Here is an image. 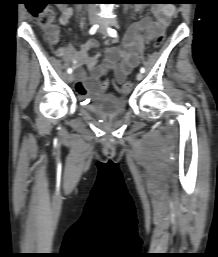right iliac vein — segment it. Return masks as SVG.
Here are the masks:
<instances>
[{
	"label": "right iliac vein",
	"mask_w": 218,
	"mask_h": 257,
	"mask_svg": "<svg viewBox=\"0 0 218 257\" xmlns=\"http://www.w3.org/2000/svg\"><path fill=\"white\" fill-rule=\"evenodd\" d=\"M96 22H97L96 17L92 16V17L89 18V23L91 25H94ZM67 80H68L69 83H72L74 81V75L73 74H69L68 77H67Z\"/></svg>",
	"instance_id": "1"
}]
</instances>
